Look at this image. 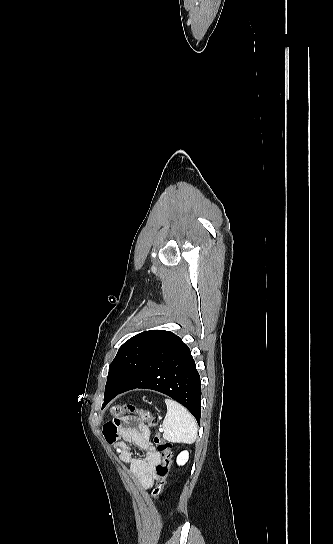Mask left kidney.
I'll return each mask as SVG.
<instances>
[{"label":"left kidney","instance_id":"5707ae66","mask_svg":"<svg viewBox=\"0 0 333 544\" xmlns=\"http://www.w3.org/2000/svg\"><path fill=\"white\" fill-rule=\"evenodd\" d=\"M188 458H189V453L188 451H182L178 456H177V464L178 465H184L187 461H188Z\"/></svg>","mask_w":333,"mask_h":544}]
</instances>
